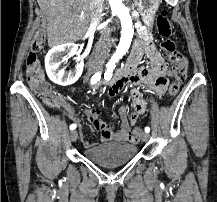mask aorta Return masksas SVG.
I'll list each match as a JSON object with an SVG mask.
<instances>
[{
  "mask_svg": "<svg viewBox=\"0 0 217 202\" xmlns=\"http://www.w3.org/2000/svg\"><path fill=\"white\" fill-rule=\"evenodd\" d=\"M109 4L112 12L118 16L122 28L119 46L115 54H113L114 62H118V60L123 58L126 52H128L131 46L134 30L129 10L128 8H125L124 4H122V0H109Z\"/></svg>",
  "mask_w": 217,
  "mask_h": 202,
  "instance_id": "obj_1",
  "label": "aorta"
}]
</instances>
